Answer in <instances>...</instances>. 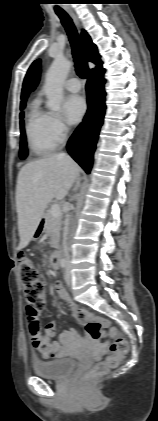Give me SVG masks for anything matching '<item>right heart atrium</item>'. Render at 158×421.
<instances>
[{"instance_id": "obj_1", "label": "right heart atrium", "mask_w": 158, "mask_h": 421, "mask_svg": "<svg viewBox=\"0 0 158 421\" xmlns=\"http://www.w3.org/2000/svg\"><path fill=\"white\" fill-rule=\"evenodd\" d=\"M50 129L57 142L62 141L69 131L65 121L58 115H50Z\"/></svg>"}]
</instances>
